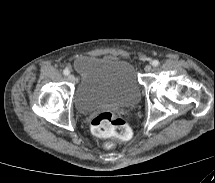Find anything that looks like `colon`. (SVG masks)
I'll list each match as a JSON object with an SVG mask.
<instances>
[{
	"instance_id": "5ec220e1",
	"label": "colon",
	"mask_w": 215,
	"mask_h": 183,
	"mask_svg": "<svg viewBox=\"0 0 215 183\" xmlns=\"http://www.w3.org/2000/svg\"><path fill=\"white\" fill-rule=\"evenodd\" d=\"M91 130L98 137L116 136L128 138L130 129L127 122L113 112H102L96 115L91 122Z\"/></svg>"
}]
</instances>
